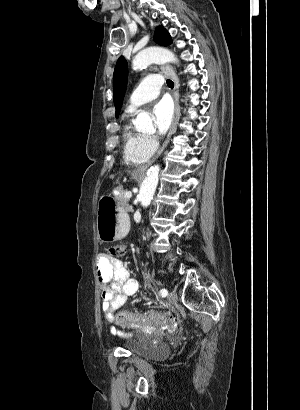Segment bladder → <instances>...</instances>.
Wrapping results in <instances>:
<instances>
[{"mask_svg":"<svg viewBox=\"0 0 300 410\" xmlns=\"http://www.w3.org/2000/svg\"><path fill=\"white\" fill-rule=\"evenodd\" d=\"M129 349L141 357H158L169 352V346L163 342H134L130 343Z\"/></svg>","mask_w":300,"mask_h":410,"instance_id":"1","label":"bladder"}]
</instances>
